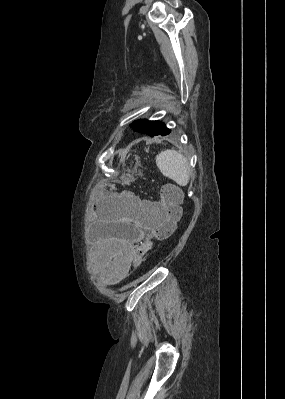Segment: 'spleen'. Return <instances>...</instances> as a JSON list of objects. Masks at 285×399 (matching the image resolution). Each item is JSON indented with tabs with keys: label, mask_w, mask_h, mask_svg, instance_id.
I'll use <instances>...</instances> for the list:
<instances>
[{
	"label": "spleen",
	"mask_w": 285,
	"mask_h": 399,
	"mask_svg": "<svg viewBox=\"0 0 285 399\" xmlns=\"http://www.w3.org/2000/svg\"><path fill=\"white\" fill-rule=\"evenodd\" d=\"M156 164L161 173L180 186H186L190 178L188 160L178 151L167 149L156 157Z\"/></svg>",
	"instance_id": "spleen-1"
}]
</instances>
